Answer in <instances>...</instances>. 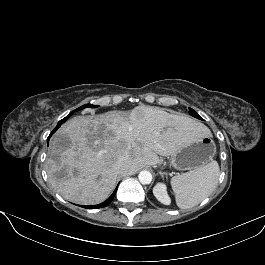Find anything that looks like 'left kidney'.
<instances>
[{"label": "left kidney", "mask_w": 265, "mask_h": 265, "mask_svg": "<svg viewBox=\"0 0 265 265\" xmlns=\"http://www.w3.org/2000/svg\"><path fill=\"white\" fill-rule=\"evenodd\" d=\"M153 194L161 203L165 205H169L171 203L170 197L167 193V187L164 183H157L153 188Z\"/></svg>", "instance_id": "left-kidney-1"}]
</instances>
